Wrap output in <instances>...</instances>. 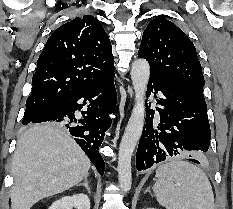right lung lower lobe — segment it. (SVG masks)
Returning a JSON list of instances; mask_svg holds the SVG:
<instances>
[{
    "label": "right lung lower lobe",
    "mask_w": 233,
    "mask_h": 209,
    "mask_svg": "<svg viewBox=\"0 0 233 209\" xmlns=\"http://www.w3.org/2000/svg\"><path fill=\"white\" fill-rule=\"evenodd\" d=\"M113 79L114 75L88 89L58 99L29 122L32 124L50 121L68 129L100 175L104 174L105 163L99 153V147L111 124L108 115L115 110L117 101ZM81 99H84L83 103ZM86 101L89 102L87 111H81L83 118L77 119L74 113L81 110Z\"/></svg>",
    "instance_id": "1"
}]
</instances>
